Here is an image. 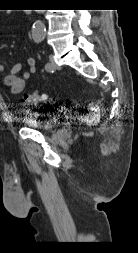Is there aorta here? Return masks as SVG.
Returning a JSON list of instances; mask_svg holds the SVG:
<instances>
[{
	"instance_id": "aorta-1",
	"label": "aorta",
	"mask_w": 138,
	"mask_h": 253,
	"mask_svg": "<svg viewBox=\"0 0 138 253\" xmlns=\"http://www.w3.org/2000/svg\"><path fill=\"white\" fill-rule=\"evenodd\" d=\"M45 25L41 21H35L32 27V37L34 40H41L45 35Z\"/></svg>"
}]
</instances>
